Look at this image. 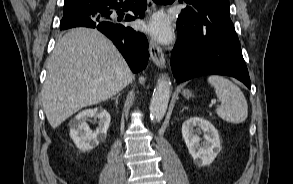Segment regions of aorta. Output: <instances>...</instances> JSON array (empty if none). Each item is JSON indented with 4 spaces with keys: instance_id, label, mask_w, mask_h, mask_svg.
<instances>
[{
    "instance_id": "aorta-1",
    "label": "aorta",
    "mask_w": 293,
    "mask_h": 184,
    "mask_svg": "<svg viewBox=\"0 0 293 184\" xmlns=\"http://www.w3.org/2000/svg\"><path fill=\"white\" fill-rule=\"evenodd\" d=\"M171 95V81L165 76L158 80L150 103V117L153 121L160 122L167 110Z\"/></svg>"
}]
</instances>
